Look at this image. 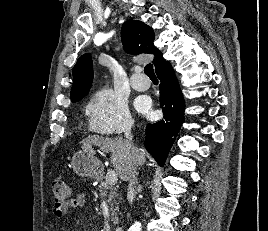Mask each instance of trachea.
<instances>
[{"mask_svg":"<svg viewBox=\"0 0 268 231\" xmlns=\"http://www.w3.org/2000/svg\"><path fill=\"white\" fill-rule=\"evenodd\" d=\"M144 73L149 77V78H156V75L153 70V65L152 64H147L144 68Z\"/></svg>","mask_w":268,"mask_h":231,"instance_id":"obj_1","label":"trachea"}]
</instances>
